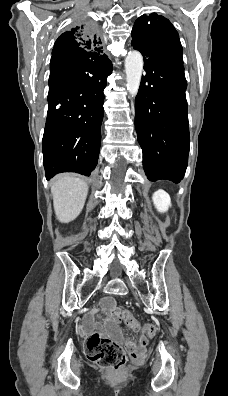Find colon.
<instances>
[{
    "mask_svg": "<svg viewBox=\"0 0 228 396\" xmlns=\"http://www.w3.org/2000/svg\"><path fill=\"white\" fill-rule=\"evenodd\" d=\"M121 316L124 322L133 330H142L147 337H153L156 327L153 324L141 325L128 310H123ZM88 358L102 368L119 371L126 362L124 350L119 343L103 333L95 332L85 342Z\"/></svg>",
    "mask_w": 228,
    "mask_h": 396,
    "instance_id": "colon-1",
    "label": "colon"
}]
</instances>
